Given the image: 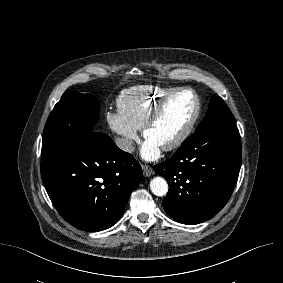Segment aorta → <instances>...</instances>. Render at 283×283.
Masks as SVG:
<instances>
[{
  "instance_id": "1",
  "label": "aorta",
  "mask_w": 283,
  "mask_h": 283,
  "mask_svg": "<svg viewBox=\"0 0 283 283\" xmlns=\"http://www.w3.org/2000/svg\"><path fill=\"white\" fill-rule=\"evenodd\" d=\"M150 189L156 196H164L168 192L167 181L162 177H155L150 182Z\"/></svg>"
}]
</instances>
